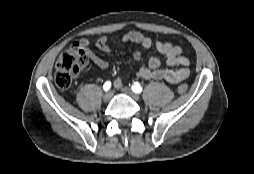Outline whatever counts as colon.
Returning a JSON list of instances; mask_svg holds the SVG:
<instances>
[{"label":"colon","mask_w":254,"mask_h":174,"mask_svg":"<svg viewBox=\"0 0 254 174\" xmlns=\"http://www.w3.org/2000/svg\"><path fill=\"white\" fill-rule=\"evenodd\" d=\"M89 60V55L79 43L70 45L64 50L55 66L54 82L60 89H67L71 86L74 76L84 68ZM187 84L182 83L178 87L180 93H185Z\"/></svg>","instance_id":"colon-1"}]
</instances>
